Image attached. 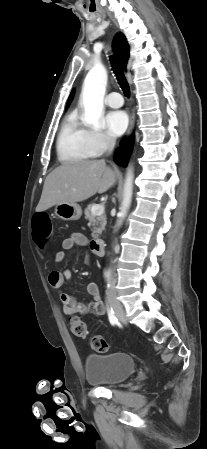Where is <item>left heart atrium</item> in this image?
Listing matches in <instances>:
<instances>
[{"label":"left heart atrium","mask_w":207,"mask_h":449,"mask_svg":"<svg viewBox=\"0 0 207 449\" xmlns=\"http://www.w3.org/2000/svg\"><path fill=\"white\" fill-rule=\"evenodd\" d=\"M128 123V115L124 111H112L105 117L106 130L113 137L122 135L126 131Z\"/></svg>","instance_id":"39dd6f15"}]
</instances>
